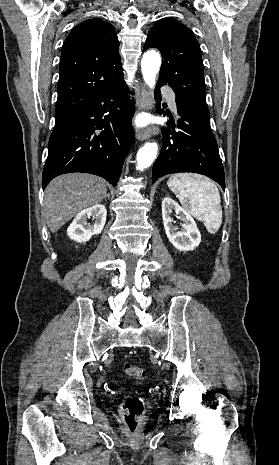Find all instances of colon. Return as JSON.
I'll return each mask as SVG.
<instances>
[{"label":"colon","mask_w":279,"mask_h":465,"mask_svg":"<svg viewBox=\"0 0 279 465\" xmlns=\"http://www.w3.org/2000/svg\"><path fill=\"white\" fill-rule=\"evenodd\" d=\"M123 371L138 380H144L146 375L142 368L130 363L123 364ZM143 412L144 402L140 397L129 396L123 401L120 413L129 432L135 433L138 430Z\"/></svg>","instance_id":"obj_1"}]
</instances>
